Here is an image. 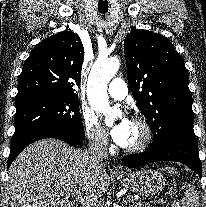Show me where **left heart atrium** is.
I'll return each instance as SVG.
<instances>
[{
    "mask_svg": "<svg viewBox=\"0 0 206 207\" xmlns=\"http://www.w3.org/2000/svg\"><path fill=\"white\" fill-rule=\"evenodd\" d=\"M132 121L128 118L121 119L111 130V136L116 144L126 147L130 137Z\"/></svg>",
    "mask_w": 206,
    "mask_h": 207,
    "instance_id": "left-heart-atrium-1",
    "label": "left heart atrium"
}]
</instances>
